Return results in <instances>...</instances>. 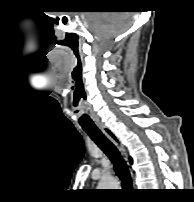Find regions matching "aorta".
<instances>
[{
	"instance_id": "762f6f07",
	"label": "aorta",
	"mask_w": 194,
	"mask_h": 202,
	"mask_svg": "<svg viewBox=\"0 0 194 202\" xmlns=\"http://www.w3.org/2000/svg\"><path fill=\"white\" fill-rule=\"evenodd\" d=\"M116 186V180L112 177L105 176L101 179L99 189H112Z\"/></svg>"
}]
</instances>
